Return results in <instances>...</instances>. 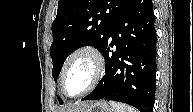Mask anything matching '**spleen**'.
<instances>
[{"mask_svg": "<svg viewBox=\"0 0 193 112\" xmlns=\"http://www.w3.org/2000/svg\"><path fill=\"white\" fill-rule=\"evenodd\" d=\"M110 106L115 109L116 112H137L136 109L133 107H130L128 105L115 102V101H109Z\"/></svg>", "mask_w": 193, "mask_h": 112, "instance_id": "3e777b00", "label": "spleen"}]
</instances>
